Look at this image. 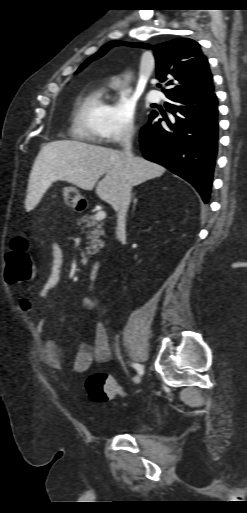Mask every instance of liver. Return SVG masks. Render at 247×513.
<instances>
[{
  "mask_svg": "<svg viewBox=\"0 0 247 513\" xmlns=\"http://www.w3.org/2000/svg\"><path fill=\"white\" fill-rule=\"evenodd\" d=\"M165 170L141 157H133L131 168H127L125 153L110 148L74 140L49 142L41 148L33 164L25 207L30 210L38 204L44 192L57 180L84 190H92L97 184L98 197L111 204L123 183L135 186L160 177Z\"/></svg>",
  "mask_w": 247,
  "mask_h": 513,
  "instance_id": "1",
  "label": "liver"
}]
</instances>
